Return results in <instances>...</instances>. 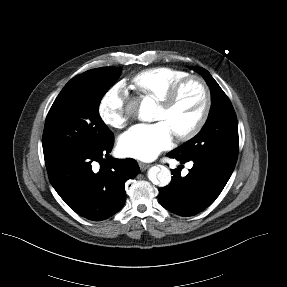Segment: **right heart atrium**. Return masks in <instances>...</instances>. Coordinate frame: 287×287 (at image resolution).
I'll return each mask as SVG.
<instances>
[{"label": "right heart atrium", "instance_id": "obj_1", "mask_svg": "<svg viewBox=\"0 0 287 287\" xmlns=\"http://www.w3.org/2000/svg\"><path fill=\"white\" fill-rule=\"evenodd\" d=\"M127 99L126 85L123 82L113 85L100 99L98 115L101 121L111 128H124L128 122Z\"/></svg>", "mask_w": 287, "mask_h": 287}]
</instances>
